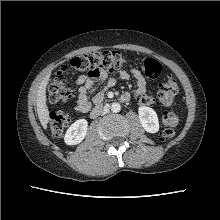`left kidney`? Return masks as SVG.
<instances>
[{"label": "left kidney", "instance_id": "5707ae66", "mask_svg": "<svg viewBox=\"0 0 220 220\" xmlns=\"http://www.w3.org/2000/svg\"><path fill=\"white\" fill-rule=\"evenodd\" d=\"M139 120L145 131L156 133L159 131V121L156 112L150 108L141 106L138 109Z\"/></svg>", "mask_w": 220, "mask_h": 220}]
</instances>
